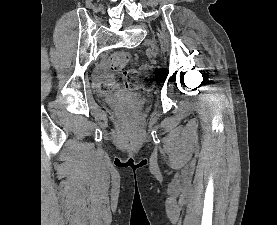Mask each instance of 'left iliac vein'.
<instances>
[{"mask_svg":"<svg viewBox=\"0 0 277 225\" xmlns=\"http://www.w3.org/2000/svg\"><path fill=\"white\" fill-rule=\"evenodd\" d=\"M147 45L150 46L153 50L158 51V48H157V46H156L154 40H148V41H147Z\"/></svg>","mask_w":277,"mask_h":225,"instance_id":"1","label":"left iliac vein"}]
</instances>
